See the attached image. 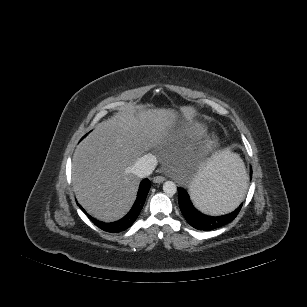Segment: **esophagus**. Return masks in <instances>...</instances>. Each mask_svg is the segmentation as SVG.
I'll use <instances>...</instances> for the list:
<instances>
[{"label":"esophagus","mask_w":307,"mask_h":307,"mask_svg":"<svg viewBox=\"0 0 307 307\" xmlns=\"http://www.w3.org/2000/svg\"><path fill=\"white\" fill-rule=\"evenodd\" d=\"M165 181V177H163V176H155L154 178H153V182L154 183H162V182H164Z\"/></svg>","instance_id":"1"}]
</instances>
